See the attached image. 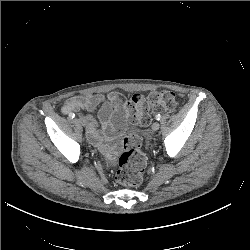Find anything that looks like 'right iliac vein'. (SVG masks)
<instances>
[{
  "label": "right iliac vein",
  "instance_id": "1",
  "mask_svg": "<svg viewBox=\"0 0 250 250\" xmlns=\"http://www.w3.org/2000/svg\"><path fill=\"white\" fill-rule=\"evenodd\" d=\"M77 121L82 125V126H85L86 125V120L84 119V117H79L77 119Z\"/></svg>",
  "mask_w": 250,
  "mask_h": 250
}]
</instances>
